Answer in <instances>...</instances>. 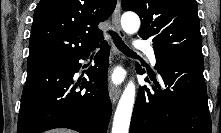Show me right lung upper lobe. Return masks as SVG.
Listing matches in <instances>:
<instances>
[{
    "instance_id": "cb5924a9",
    "label": "right lung upper lobe",
    "mask_w": 221,
    "mask_h": 133,
    "mask_svg": "<svg viewBox=\"0 0 221 133\" xmlns=\"http://www.w3.org/2000/svg\"><path fill=\"white\" fill-rule=\"evenodd\" d=\"M115 6L116 0H41L33 16L27 64L90 51L102 35L98 24Z\"/></svg>"
}]
</instances>
